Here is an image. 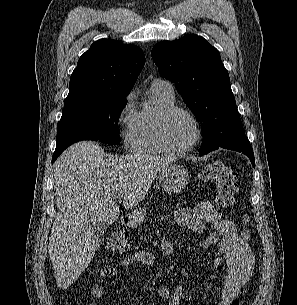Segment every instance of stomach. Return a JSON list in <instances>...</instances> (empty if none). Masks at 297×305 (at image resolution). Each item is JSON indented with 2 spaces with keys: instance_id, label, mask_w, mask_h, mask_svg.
Masks as SVG:
<instances>
[{
  "instance_id": "1",
  "label": "stomach",
  "mask_w": 297,
  "mask_h": 305,
  "mask_svg": "<svg viewBox=\"0 0 297 305\" xmlns=\"http://www.w3.org/2000/svg\"><path fill=\"white\" fill-rule=\"evenodd\" d=\"M188 181V171L183 166L177 164H170L159 175V182L167 193L180 192L188 184ZM144 217L145 210H138L134 212L133 222L140 223L144 220Z\"/></svg>"
}]
</instances>
